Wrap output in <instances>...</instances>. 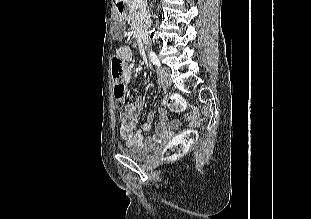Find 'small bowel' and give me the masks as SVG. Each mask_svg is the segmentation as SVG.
I'll list each match as a JSON object with an SVG mask.
<instances>
[{
	"label": "small bowel",
	"mask_w": 311,
	"mask_h": 219,
	"mask_svg": "<svg viewBox=\"0 0 311 219\" xmlns=\"http://www.w3.org/2000/svg\"><path fill=\"white\" fill-rule=\"evenodd\" d=\"M117 57L122 60L128 61L130 59V51L128 47H120L117 52ZM132 80V72L128 69L124 74L125 83L129 84ZM143 99L138 97L133 102L129 103L124 110L122 120L120 122L119 132L122 137L129 145H141L144 142V135L141 131H136L139 116L143 107ZM164 110H160V122L157 126L158 134L154 135L151 139L156 140L159 137H167L172 134V130L176 125H170L167 123V115L164 114ZM191 114H195L193 111ZM156 115L154 112H149L146 115V120L141 125L143 132H148L152 129ZM191 125L197 124V119H193L190 122Z\"/></svg>",
	"instance_id": "obj_1"
}]
</instances>
